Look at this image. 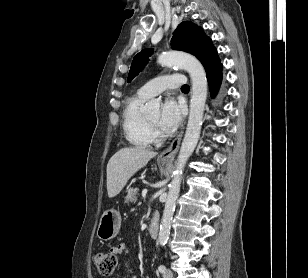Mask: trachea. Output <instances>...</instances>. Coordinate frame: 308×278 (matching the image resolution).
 I'll return each mask as SVG.
<instances>
[{
  "label": "trachea",
  "instance_id": "obj_1",
  "mask_svg": "<svg viewBox=\"0 0 308 278\" xmlns=\"http://www.w3.org/2000/svg\"><path fill=\"white\" fill-rule=\"evenodd\" d=\"M182 90H189V86L188 85H184L181 87Z\"/></svg>",
  "mask_w": 308,
  "mask_h": 278
}]
</instances>
